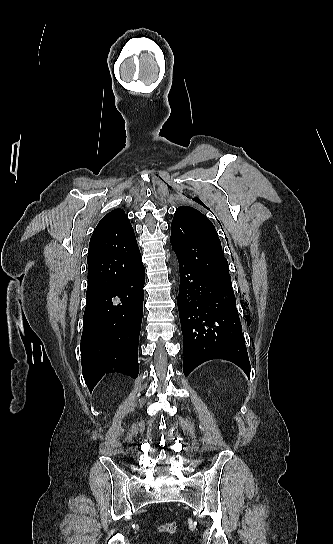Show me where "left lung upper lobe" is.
<instances>
[{
  "label": "left lung upper lobe",
  "instance_id": "1",
  "mask_svg": "<svg viewBox=\"0 0 333 544\" xmlns=\"http://www.w3.org/2000/svg\"><path fill=\"white\" fill-rule=\"evenodd\" d=\"M170 240L178 259L207 273L234 295L221 242L213 223L205 215L192 207L177 208Z\"/></svg>",
  "mask_w": 333,
  "mask_h": 544
}]
</instances>
